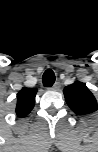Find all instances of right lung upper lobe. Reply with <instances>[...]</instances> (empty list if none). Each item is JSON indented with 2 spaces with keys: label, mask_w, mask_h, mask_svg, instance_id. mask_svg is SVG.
<instances>
[{
  "label": "right lung upper lobe",
  "mask_w": 98,
  "mask_h": 152,
  "mask_svg": "<svg viewBox=\"0 0 98 152\" xmlns=\"http://www.w3.org/2000/svg\"><path fill=\"white\" fill-rule=\"evenodd\" d=\"M37 89L23 87L17 94L16 114L22 118L27 116L35 105Z\"/></svg>",
  "instance_id": "obj_1"
}]
</instances>
